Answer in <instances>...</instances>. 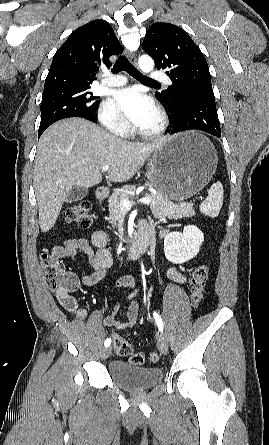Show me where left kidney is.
<instances>
[{
  "instance_id": "1",
  "label": "left kidney",
  "mask_w": 269,
  "mask_h": 445,
  "mask_svg": "<svg viewBox=\"0 0 269 445\" xmlns=\"http://www.w3.org/2000/svg\"><path fill=\"white\" fill-rule=\"evenodd\" d=\"M204 235L194 225L184 227L183 233L173 232L164 239V253L168 261L182 264L194 258L199 250Z\"/></svg>"
}]
</instances>
